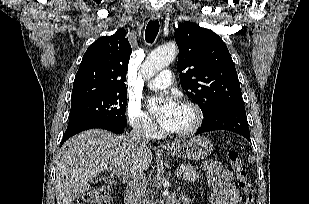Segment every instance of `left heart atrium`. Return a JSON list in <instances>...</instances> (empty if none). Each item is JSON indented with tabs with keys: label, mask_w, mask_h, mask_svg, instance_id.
Segmentation results:
<instances>
[{
	"label": "left heart atrium",
	"mask_w": 309,
	"mask_h": 204,
	"mask_svg": "<svg viewBox=\"0 0 309 204\" xmlns=\"http://www.w3.org/2000/svg\"><path fill=\"white\" fill-rule=\"evenodd\" d=\"M148 108L158 123L166 130H172L180 105L171 98L153 97L148 100Z\"/></svg>",
	"instance_id": "obj_1"
}]
</instances>
